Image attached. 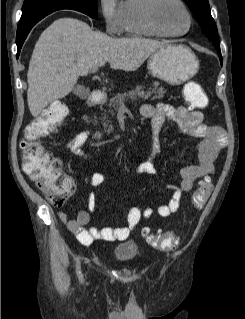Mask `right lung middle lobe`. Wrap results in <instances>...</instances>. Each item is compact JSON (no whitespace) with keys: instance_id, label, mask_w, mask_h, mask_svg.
I'll return each mask as SVG.
<instances>
[{"instance_id":"obj_1","label":"right lung middle lobe","mask_w":245,"mask_h":319,"mask_svg":"<svg viewBox=\"0 0 245 319\" xmlns=\"http://www.w3.org/2000/svg\"><path fill=\"white\" fill-rule=\"evenodd\" d=\"M59 9H73L97 18V0H25L18 27L33 22L31 20L37 16L45 17Z\"/></svg>"}]
</instances>
